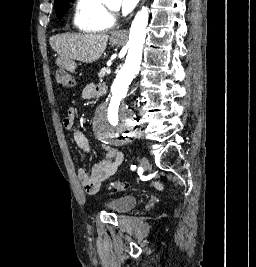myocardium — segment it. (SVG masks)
Masks as SVG:
<instances>
[{
    "instance_id": "obj_1",
    "label": "myocardium",
    "mask_w": 256,
    "mask_h": 267,
    "mask_svg": "<svg viewBox=\"0 0 256 267\" xmlns=\"http://www.w3.org/2000/svg\"><path fill=\"white\" fill-rule=\"evenodd\" d=\"M106 1H107V11L105 13V16H104V20L102 22V25L104 23L108 22V21L113 22V25H114V21H115V17H116L117 5H116V3L113 0H106ZM101 31L107 32V31L102 30V29H101Z\"/></svg>"
}]
</instances>
